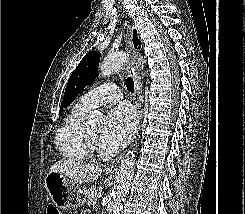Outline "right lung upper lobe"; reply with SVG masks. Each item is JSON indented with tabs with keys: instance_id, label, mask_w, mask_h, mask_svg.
Masks as SVG:
<instances>
[{
	"instance_id": "cb5924a9",
	"label": "right lung upper lobe",
	"mask_w": 245,
	"mask_h": 214,
	"mask_svg": "<svg viewBox=\"0 0 245 214\" xmlns=\"http://www.w3.org/2000/svg\"><path fill=\"white\" fill-rule=\"evenodd\" d=\"M134 36H136V32H134ZM133 42H134L135 48H137L138 45H139L138 48H140L141 42L140 41L138 42V39L136 37L133 39Z\"/></svg>"
}]
</instances>
